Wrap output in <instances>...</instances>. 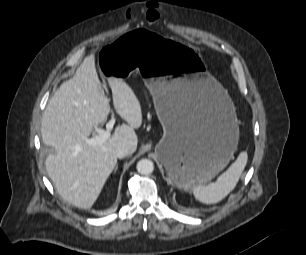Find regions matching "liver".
Returning a JSON list of instances; mask_svg holds the SVG:
<instances>
[{
	"label": "liver",
	"mask_w": 306,
	"mask_h": 255,
	"mask_svg": "<svg viewBox=\"0 0 306 255\" xmlns=\"http://www.w3.org/2000/svg\"><path fill=\"white\" fill-rule=\"evenodd\" d=\"M116 112L128 125L117 126L101 145L86 140L104 124L111 108L95 68L94 55L87 56L72 79L61 84L43 113V143L53 149L45 161L46 171L58 194L79 208L88 209L98 199L113 172L119 145L135 152L138 137L134 129L142 125L140 102L132 88L118 77H108Z\"/></svg>",
	"instance_id": "6515ba94"
}]
</instances>
